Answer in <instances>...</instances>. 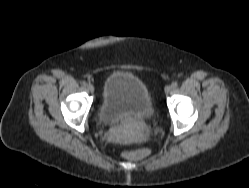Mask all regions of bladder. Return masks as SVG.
<instances>
[{
    "mask_svg": "<svg viewBox=\"0 0 249 188\" xmlns=\"http://www.w3.org/2000/svg\"><path fill=\"white\" fill-rule=\"evenodd\" d=\"M127 115L150 121L155 115V104L146 83L136 75L112 72L105 80L98 109V119L113 125Z\"/></svg>",
    "mask_w": 249,
    "mask_h": 188,
    "instance_id": "31cf9c89",
    "label": "bladder"
}]
</instances>
